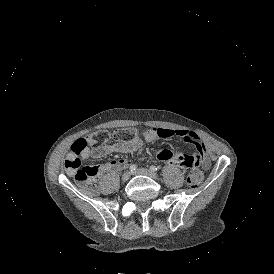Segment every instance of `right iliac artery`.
I'll use <instances>...</instances> for the list:
<instances>
[{"label": "right iliac artery", "mask_w": 274, "mask_h": 274, "mask_svg": "<svg viewBox=\"0 0 274 274\" xmlns=\"http://www.w3.org/2000/svg\"><path fill=\"white\" fill-rule=\"evenodd\" d=\"M136 169H137V166L135 164L131 165L129 168L131 172L135 171Z\"/></svg>", "instance_id": "82829eb1"}]
</instances>
